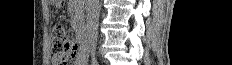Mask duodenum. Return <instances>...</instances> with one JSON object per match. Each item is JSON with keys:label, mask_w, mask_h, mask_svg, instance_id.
Returning a JSON list of instances; mask_svg holds the SVG:
<instances>
[{"label": "duodenum", "mask_w": 232, "mask_h": 65, "mask_svg": "<svg viewBox=\"0 0 232 65\" xmlns=\"http://www.w3.org/2000/svg\"><path fill=\"white\" fill-rule=\"evenodd\" d=\"M78 42L80 44V49L84 52L87 53L88 51V36L85 30H81L78 34Z\"/></svg>", "instance_id": "obj_1"}]
</instances>
